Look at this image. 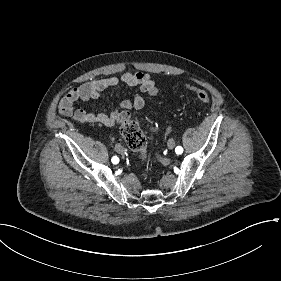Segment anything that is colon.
Returning a JSON list of instances; mask_svg holds the SVG:
<instances>
[{"label":"colon","mask_w":281,"mask_h":281,"mask_svg":"<svg viewBox=\"0 0 281 281\" xmlns=\"http://www.w3.org/2000/svg\"><path fill=\"white\" fill-rule=\"evenodd\" d=\"M195 95L197 101L201 103H209L211 100L210 95L204 91H197ZM117 123L119 124L120 132L128 146L140 154L142 159H146L147 139L140 129L138 122L132 120L129 113H122L118 117Z\"/></svg>","instance_id":"obj_1"}]
</instances>
